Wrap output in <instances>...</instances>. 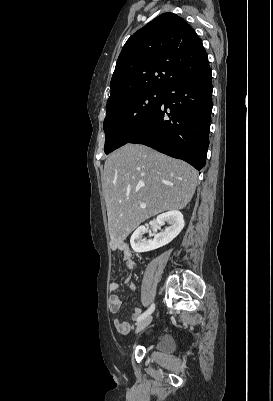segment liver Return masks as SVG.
I'll list each match as a JSON object with an SVG mask.
<instances>
[{"label": "liver", "mask_w": 273, "mask_h": 401, "mask_svg": "<svg viewBox=\"0 0 273 401\" xmlns=\"http://www.w3.org/2000/svg\"><path fill=\"white\" fill-rule=\"evenodd\" d=\"M197 178V170L187 162L144 144L128 142L111 152L105 160L102 186L112 243L124 241L142 221L158 213L184 209Z\"/></svg>", "instance_id": "obj_1"}]
</instances>
